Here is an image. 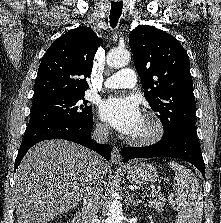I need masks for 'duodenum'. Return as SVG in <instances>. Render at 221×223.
I'll return each mask as SVG.
<instances>
[{
	"label": "duodenum",
	"instance_id": "duodenum-1",
	"mask_svg": "<svg viewBox=\"0 0 221 223\" xmlns=\"http://www.w3.org/2000/svg\"><path fill=\"white\" fill-rule=\"evenodd\" d=\"M72 223H84V220H83V212L82 210H78L73 218V221Z\"/></svg>",
	"mask_w": 221,
	"mask_h": 223
}]
</instances>
